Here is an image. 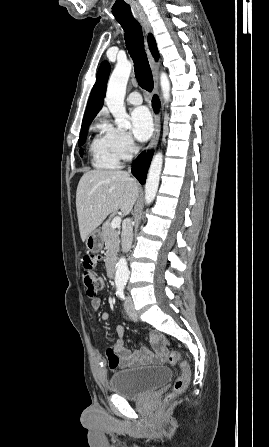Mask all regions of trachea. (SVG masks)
I'll use <instances>...</instances> for the list:
<instances>
[{
  "instance_id": "1",
  "label": "trachea",
  "mask_w": 269,
  "mask_h": 447,
  "mask_svg": "<svg viewBox=\"0 0 269 447\" xmlns=\"http://www.w3.org/2000/svg\"><path fill=\"white\" fill-rule=\"evenodd\" d=\"M124 30L127 49L134 61V71L141 88L151 92L154 86L152 72L144 49L142 28L137 20L119 22Z\"/></svg>"
}]
</instances>
